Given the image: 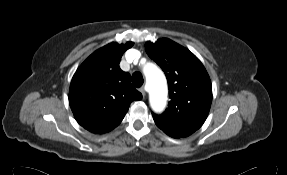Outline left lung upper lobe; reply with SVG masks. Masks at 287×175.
Returning <instances> with one entry per match:
<instances>
[{"mask_svg":"<svg viewBox=\"0 0 287 175\" xmlns=\"http://www.w3.org/2000/svg\"><path fill=\"white\" fill-rule=\"evenodd\" d=\"M145 49L165 72L169 85V107L153 114L166 134L187 137L205 122L212 102V85L200 60L183 46L166 38L147 42Z\"/></svg>","mask_w":287,"mask_h":175,"instance_id":"1","label":"left lung upper lobe"}]
</instances>
